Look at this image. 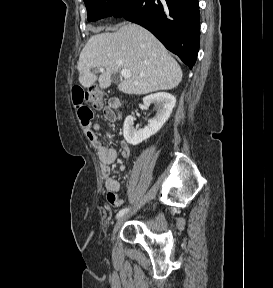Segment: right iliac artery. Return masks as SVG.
Masks as SVG:
<instances>
[{"instance_id": "right-iliac-artery-1", "label": "right iliac artery", "mask_w": 273, "mask_h": 288, "mask_svg": "<svg viewBox=\"0 0 273 288\" xmlns=\"http://www.w3.org/2000/svg\"><path fill=\"white\" fill-rule=\"evenodd\" d=\"M129 211V208H124V209H121L117 215H116V218L119 219L121 216H123L125 213H127Z\"/></svg>"}]
</instances>
